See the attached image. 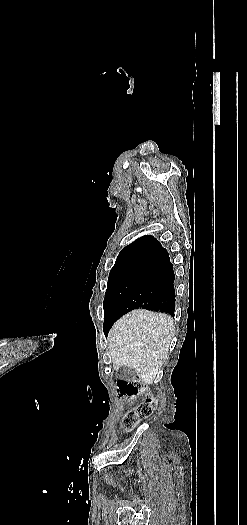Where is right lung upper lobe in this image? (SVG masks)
Masks as SVG:
<instances>
[{
    "mask_svg": "<svg viewBox=\"0 0 247 525\" xmlns=\"http://www.w3.org/2000/svg\"><path fill=\"white\" fill-rule=\"evenodd\" d=\"M164 251L165 249L161 243L153 236L140 237L123 248L111 271H122L137 267L149 258L158 256Z\"/></svg>",
    "mask_w": 247,
    "mask_h": 525,
    "instance_id": "right-lung-upper-lobe-1",
    "label": "right lung upper lobe"
}]
</instances>
